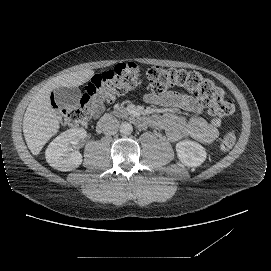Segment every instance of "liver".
Wrapping results in <instances>:
<instances>
[{"label":"liver","instance_id":"1","mask_svg":"<svg viewBox=\"0 0 271 271\" xmlns=\"http://www.w3.org/2000/svg\"><path fill=\"white\" fill-rule=\"evenodd\" d=\"M94 75L91 69L61 74L50 79L33 96L23 118V133L33 155H38L44 145L59 129L58 116L51 106L50 93L60 87H78Z\"/></svg>","mask_w":271,"mask_h":271}]
</instances>
